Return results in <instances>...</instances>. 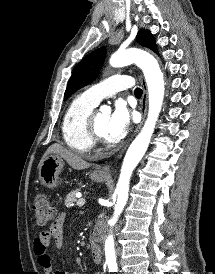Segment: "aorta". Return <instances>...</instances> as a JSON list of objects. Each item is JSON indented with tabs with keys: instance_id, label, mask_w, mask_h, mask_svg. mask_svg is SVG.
<instances>
[{
	"instance_id": "762f6f07",
	"label": "aorta",
	"mask_w": 215,
	"mask_h": 274,
	"mask_svg": "<svg viewBox=\"0 0 215 274\" xmlns=\"http://www.w3.org/2000/svg\"><path fill=\"white\" fill-rule=\"evenodd\" d=\"M132 63H135L143 70L148 86L149 110L147 120L141 132L131 143L123 160L120 177L115 190L118 198L114 215L110 222L111 225L116 223L127 203L132 172L148 148L164 99L163 74L158 62L152 55L140 49L130 48L117 51L110 58V65L113 67H122ZM106 109L108 108L102 107V110ZM105 256L109 271L116 272L115 242L112 234L108 235L105 242Z\"/></svg>"
}]
</instances>
